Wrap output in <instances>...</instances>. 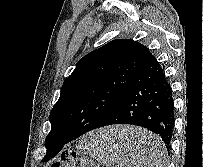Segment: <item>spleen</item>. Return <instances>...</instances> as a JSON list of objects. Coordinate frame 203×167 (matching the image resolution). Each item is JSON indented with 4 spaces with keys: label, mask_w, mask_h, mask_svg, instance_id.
<instances>
[{
    "label": "spleen",
    "mask_w": 203,
    "mask_h": 167,
    "mask_svg": "<svg viewBox=\"0 0 203 167\" xmlns=\"http://www.w3.org/2000/svg\"><path fill=\"white\" fill-rule=\"evenodd\" d=\"M79 150L95 157L107 167H166L167 153L162 141L154 137L148 139L140 160H126L115 145L111 144L110 135L96 131L85 136L79 144Z\"/></svg>",
    "instance_id": "3e777b00"
}]
</instances>
